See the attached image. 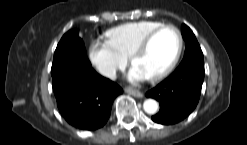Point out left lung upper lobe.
<instances>
[{
	"mask_svg": "<svg viewBox=\"0 0 247 145\" xmlns=\"http://www.w3.org/2000/svg\"><path fill=\"white\" fill-rule=\"evenodd\" d=\"M182 36L186 42V50L183 59L189 57H203L202 50L197 42L194 33L185 24L182 25Z\"/></svg>",
	"mask_w": 247,
	"mask_h": 145,
	"instance_id": "5c2ea615",
	"label": "left lung upper lobe"
}]
</instances>
